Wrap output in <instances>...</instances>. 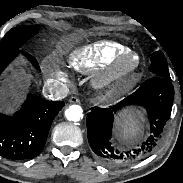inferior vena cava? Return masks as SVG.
Listing matches in <instances>:
<instances>
[{"instance_id":"obj_1","label":"inferior vena cava","mask_w":183,"mask_h":183,"mask_svg":"<svg viewBox=\"0 0 183 183\" xmlns=\"http://www.w3.org/2000/svg\"><path fill=\"white\" fill-rule=\"evenodd\" d=\"M69 89L61 83H46L43 87V95L50 100H61L68 95Z\"/></svg>"}]
</instances>
